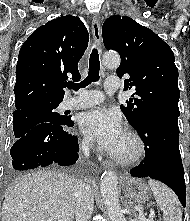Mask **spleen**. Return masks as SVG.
Listing matches in <instances>:
<instances>
[{
  "mask_svg": "<svg viewBox=\"0 0 190 221\" xmlns=\"http://www.w3.org/2000/svg\"><path fill=\"white\" fill-rule=\"evenodd\" d=\"M148 184L151 188L156 203L163 212V220L182 221V211L178 198L174 192L156 180L150 179Z\"/></svg>",
  "mask_w": 190,
  "mask_h": 221,
  "instance_id": "spleen-1",
  "label": "spleen"
}]
</instances>
